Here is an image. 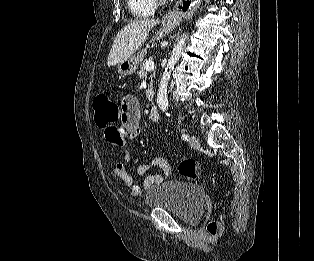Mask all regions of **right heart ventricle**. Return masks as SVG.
Masks as SVG:
<instances>
[{
	"mask_svg": "<svg viewBox=\"0 0 314 261\" xmlns=\"http://www.w3.org/2000/svg\"><path fill=\"white\" fill-rule=\"evenodd\" d=\"M127 5L132 15L137 18L151 17L156 11L155 0H127Z\"/></svg>",
	"mask_w": 314,
	"mask_h": 261,
	"instance_id": "right-heart-ventricle-1",
	"label": "right heart ventricle"
}]
</instances>
